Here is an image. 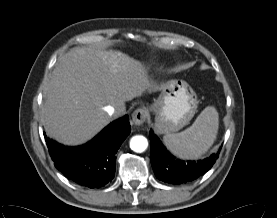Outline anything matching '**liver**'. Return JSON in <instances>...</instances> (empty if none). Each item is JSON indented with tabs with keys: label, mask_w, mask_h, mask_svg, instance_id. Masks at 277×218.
<instances>
[{
	"label": "liver",
	"mask_w": 277,
	"mask_h": 218,
	"mask_svg": "<svg viewBox=\"0 0 277 218\" xmlns=\"http://www.w3.org/2000/svg\"><path fill=\"white\" fill-rule=\"evenodd\" d=\"M162 87L145 66L128 55L95 47H76L57 62L45 88L41 119L48 135L67 145L85 143L113 118L105 110Z\"/></svg>",
	"instance_id": "obj_1"
}]
</instances>
